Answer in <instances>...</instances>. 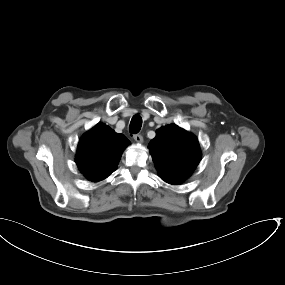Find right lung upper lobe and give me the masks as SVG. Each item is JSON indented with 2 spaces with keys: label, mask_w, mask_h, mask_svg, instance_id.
I'll return each instance as SVG.
<instances>
[{
  "label": "right lung upper lobe",
  "mask_w": 285,
  "mask_h": 285,
  "mask_svg": "<svg viewBox=\"0 0 285 285\" xmlns=\"http://www.w3.org/2000/svg\"><path fill=\"white\" fill-rule=\"evenodd\" d=\"M130 141L103 123L89 130L78 143L76 164L83 175L98 182L114 172Z\"/></svg>",
  "instance_id": "right-lung-upper-lobe-1"
}]
</instances>
